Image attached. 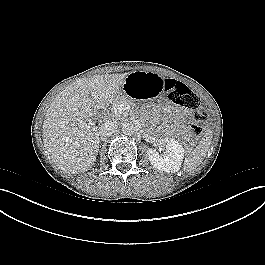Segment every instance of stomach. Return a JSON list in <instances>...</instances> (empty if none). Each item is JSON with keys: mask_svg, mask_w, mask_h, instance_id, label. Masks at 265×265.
Wrapping results in <instances>:
<instances>
[{"mask_svg": "<svg viewBox=\"0 0 265 265\" xmlns=\"http://www.w3.org/2000/svg\"><path fill=\"white\" fill-rule=\"evenodd\" d=\"M164 79L153 72L135 71L131 73L122 86V92L137 108L152 107L163 92Z\"/></svg>", "mask_w": 265, "mask_h": 265, "instance_id": "stomach-1", "label": "stomach"}]
</instances>
